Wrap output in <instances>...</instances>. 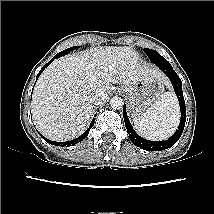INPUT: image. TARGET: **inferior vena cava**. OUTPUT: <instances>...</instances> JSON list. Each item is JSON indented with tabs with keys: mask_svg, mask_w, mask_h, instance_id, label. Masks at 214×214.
Returning a JSON list of instances; mask_svg holds the SVG:
<instances>
[{
	"mask_svg": "<svg viewBox=\"0 0 214 214\" xmlns=\"http://www.w3.org/2000/svg\"><path fill=\"white\" fill-rule=\"evenodd\" d=\"M108 98V94L104 90H95L89 94V101L95 105L104 103Z\"/></svg>",
	"mask_w": 214,
	"mask_h": 214,
	"instance_id": "obj_1",
	"label": "inferior vena cava"
}]
</instances>
